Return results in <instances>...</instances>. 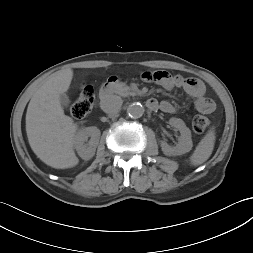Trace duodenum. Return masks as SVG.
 <instances>
[{
  "label": "duodenum",
  "instance_id": "obj_1",
  "mask_svg": "<svg viewBox=\"0 0 253 253\" xmlns=\"http://www.w3.org/2000/svg\"><path fill=\"white\" fill-rule=\"evenodd\" d=\"M118 83L117 78H110L109 81L100 90V99L106 101L109 97L111 89ZM146 105L151 110H156L158 108V102L155 99H149Z\"/></svg>",
  "mask_w": 253,
  "mask_h": 253
}]
</instances>
